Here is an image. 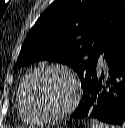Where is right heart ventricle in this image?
Listing matches in <instances>:
<instances>
[{"label": "right heart ventricle", "instance_id": "e07e8e85", "mask_svg": "<svg viewBox=\"0 0 125 128\" xmlns=\"http://www.w3.org/2000/svg\"><path fill=\"white\" fill-rule=\"evenodd\" d=\"M21 85V84H20ZM20 86L18 87V90H17V110H18V113L20 115V117L26 122V123H32L33 120L25 113L23 107H22V104H21V100H20Z\"/></svg>", "mask_w": 125, "mask_h": 128}]
</instances>
